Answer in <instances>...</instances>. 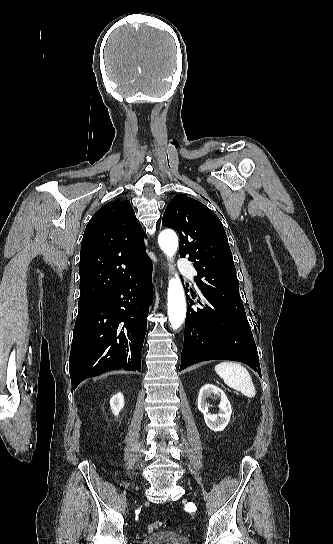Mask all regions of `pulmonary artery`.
I'll use <instances>...</instances> for the list:
<instances>
[{"label": "pulmonary artery", "instance_id": "e3ab8cb5", "mask_svg": "<svg viewBox=\"0 0 333 544\" xmlns=\"http://www.w3.org/2000/svg\"><path fill=\"white\" fill-rule=\"evenodd\" d=\"M178 269L181 274L188 278H193L196 275L195 269L187 261H180L178 264Z\"/></svg>", "mask_w": 333, "mask_h": 544}]
</instances>
